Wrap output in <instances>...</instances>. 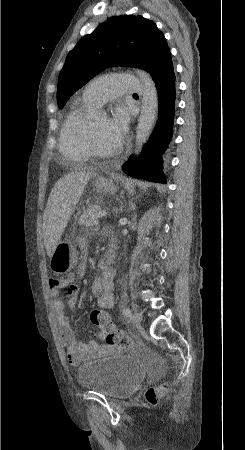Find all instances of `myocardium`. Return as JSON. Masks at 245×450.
<instances>
[{
    "label": "myocardium",
    "instance_id": "f54148a6",
    "mask_svg": "<svg viewBox=\"0 0 245 450\" xmlns=\"http://www.w3.org/2000/svg\"><path fill=\"white\" fill-rule=\"evenodd\" d=\"M86 135H87V144H88V148H89L91 156L104 158V157L115 156L120 153L119 148L116 149L115 151L108 152V151L101 149L98 146V144L95 140V137H94L93 124H92L91 120L88 123L87 129H86Z\"/></svg>",
    "mask_w": 245,
    "mask_h": 450
}]
</instances>
